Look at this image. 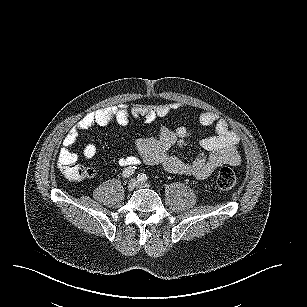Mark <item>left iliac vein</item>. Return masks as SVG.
<instances>
[{"instance_id": "left-iliac-vein-1", "label": "left iliac vein", "mask_w": 307, "mask_h": 307, "mask_svg": "<svg viewBox=\"0 0 307 307\" xmlns=\"http://www.w3.org/2000/svg\"><path fill=\"white\" fill-rule=\"evenodd\" d=\"M136 186L142 188H148L150 185L148 183L138 182Z\"/></svg>"}]
</instances>
